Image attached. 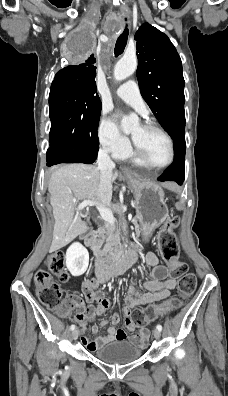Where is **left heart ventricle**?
Here are the masks:
<instances>
[{"mask_svg":"<svg viewBox=\"0 0 228 396\" xmlns=\"http://www.w3.org/2000/svg\"><path fill=\"white\" fill-rule=\"evenodd\" d=\"M131 137L153 165H162L170 157V146L167 139L158 131L147 129L141 124L135 125Z\"/></svg>","mask_w":228,"mask_h":396,"instance_id":"left-heart-ventricle-1","label":"left heart ventricle"}]
</instances>
